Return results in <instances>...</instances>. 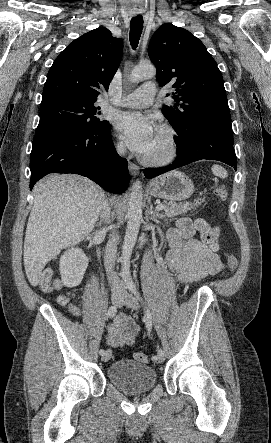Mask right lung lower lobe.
I'll list each match as a JSON object with an SVG mask.
<instances>
[{
	"label": "right lung lower lobe",
	"instance_id": "obj_1",
	"mask_svg": "<svg viewBox=\"0 0 271 443\" xmlns=\"http://www.w3.org/2000/svg\"><path fill=\"white\" fill-rule=\"evenodd\" d=\"M30 189L49 173L86 176L103 189L124 192L130 181L127 160L119 157L111 138V126L87 131L52 125L36 131L30 155Z\"/></svg>",
	"mask_w": 271,
	"mask_h": 443
}]
</instances>
